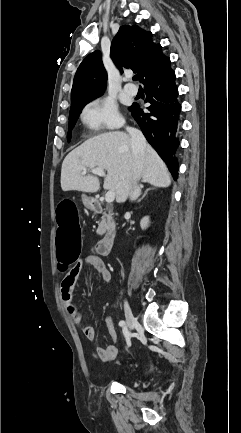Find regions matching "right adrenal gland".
<instances>
[{
    "mask_svg": "<svg viewBox=\"0 0 241 433\" xmlns=\"http://www.w3.org/2000/svg\"><path fill=\"white\" fill-rule=\"evenodd\" d=\"M151 189H153V188H152V187H151V188H147V189L144 191L142 197H141L138 201H140L142 198H144V197L147 195L148 191L151 190Z\"/></svg>",
    "mask_w": 241,
    "mask_h": 433,
    "instance_id": "obj_1",
    "label": "right adrenal gland"
}]
</instances>
